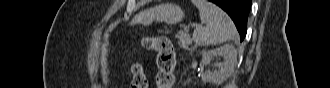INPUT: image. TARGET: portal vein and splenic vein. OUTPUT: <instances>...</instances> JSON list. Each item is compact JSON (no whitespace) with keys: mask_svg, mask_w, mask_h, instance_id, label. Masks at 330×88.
I'll use <instances>...</instances> for the list:
<instances>
[{"mask_svg":"<svg viewBox=\"0 0 330 88\" xmlns=\"http://www.w3.org/2000/svg\"><path fill=\"white\" fill-rule=\"evenodd\" d=\"M184 31H185V32H188V28H187V27H185V28H184Z\"/></svg>","mask_w":330,"mask_h":88,"instance_id":"18ae733b","label":"portal vein and splenic vein"}]
</instances>
